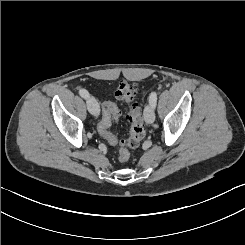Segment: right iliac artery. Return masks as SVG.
<instances>
[{"mask_svg": "<svg viewBox=\"0 0 245 245\" xmlns=\"http://www.w3.org/2000/svg\"><path fill=\"white\" fill-rule=\"evenodd\" d=\"M79 94H80L81 97H83V98H85V99H87V98L89 97V93H88V91L85 90V89H81V90L79 91Z\"/></svg>", "mask_w": 245, "mask_h": 245, "instance_id": "obj_1", "label": "right iliac artery"}]
</instances>
